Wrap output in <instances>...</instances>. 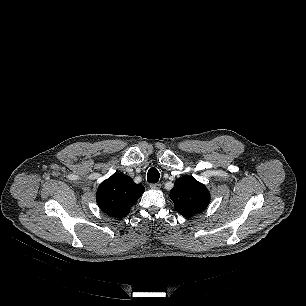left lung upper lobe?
Wrapping results in <instances>:
<instances>
[{
	"instance_id": "obj_1",
	"label": "left lung upper lobe",
	"mask_w": 306,
	"mask_h": 306,
	"mask_svg": "<svg viewBox=\"0 0 306 306\" xmlns=\"http://www.w3.org/2000/svg\"><path fill=\"white\" fill-rule=\"evenodd\" d=\"M170 199L175 209L184 217L203 211L210 202V194L202 183L192 176H184L176 180L170 191Z\"/></svg>"
}]
</instances>
